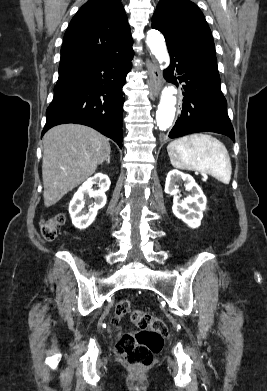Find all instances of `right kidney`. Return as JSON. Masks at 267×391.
Listing matches in <instances>:
<instances>
[{
  "instance_id": "right-kidney-1",
  "label": "right kidney",
  "mask_w": 267,
  "mask_h": 391,
  "mask_svg": "<svg viewBox=\"0 0 267 391\" xmlns=\"http://www.w3.org/2000/svg\"><path fill=\"white\" fill-rule=\"evenodd\" d=\"M98 184L99 190L93 191L92 185ZM110 187V179L105 174H95L79 187L69 205V213L72 223L79 229H85L95 220L99 209L106 204L105 192ZM93 197L94 202L88 207V213H81L85 204V197Z\"/></svg>"
}]
</instances>
